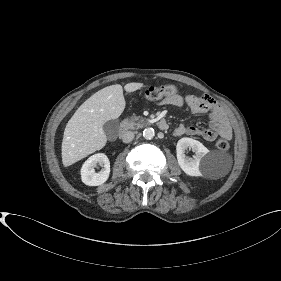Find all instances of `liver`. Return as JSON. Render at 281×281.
Here are the masks:
<instances>
[{
  "instance_id": "1",
  "label": "liver",
  "mask_w": 281,
  "mask_h": 281,
  "mask_svg": "<svg viewBox=\"0 0 281 281\" xmlns=\"http://www.w3.org/2000/svg\"><path fill=\"white\" fill-rule=\"evenodd\" d=\"M143 83H128L126 92L141 89ZM123 87L107 86L89 97L74 113L64 130L62 163L68 167L102 149L107 142L103 125L120 117L125 109Z\"/></svg>"
}]
</instances>
